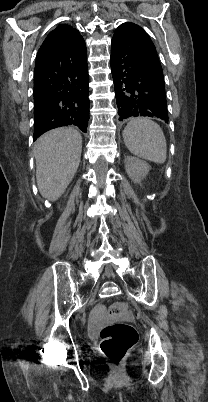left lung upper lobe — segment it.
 <instances>
[{"label": "left lung upper lobe", "mask_w": 208, "mask_h": 402, "mask_svg": "<svg viewBox=\"0 0 208 402\" xmlns=\"http://www.w3.org/2000/svg\"><path fill=\"white\" fill-rule=\"evenodd\" d=\"M145 49H146V58H145L146 66H148L152 71H154L160 77H163V71L161 64L159 62V58L157 56L156 48L150 38H148L145 43Z\"/></svg>", "instance_id": "1"}]
</instances>
